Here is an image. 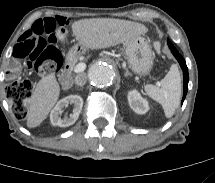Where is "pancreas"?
I'll use <instances>...</instances> for the list:
<instances>
[{"label": "pancreas", "mask_w": 215, "mask_h": 183, "mask_svg": "<svg viewBox=\"0 0 215 183\" xmlns=\"http://www.w3.org/2000/svg\"><path fill=\"white\" fill-rule=\"evenodd\" d=\"M71 64H72V66H73V65L75 64V62H72Z\"/></svg>", "instance_id": "pancreas-1"}]
</instances>
